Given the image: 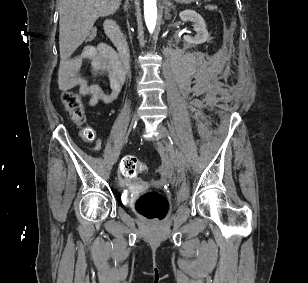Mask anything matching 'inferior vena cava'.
<instances>
[{"instance_id": "obj_1", "label": "inferior vena cava", "mask_w": 308, "mask_h": 283, "mask_svg": "<svg viewBox=\"0 0 308 283\" xmlns=\"http://www.w3.org/2000/svg\"><path fill=\"white\" fill-rule=\"evenodd\" d=\"M130 23H131V22H130ZM131 26H132V25H131ZM131 29H132V28H131ZM129 34H130V35H133V34H134V31H133V30H130V31H129ZM133 37H134V36H133ZM134 39H135V38H134ZM131 44H132V45H135V44H136V40H132V41H131Z\"/></svg>"}]
</instances>
